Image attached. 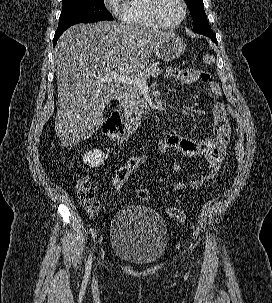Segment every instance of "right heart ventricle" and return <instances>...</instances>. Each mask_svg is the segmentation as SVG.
<instances>
[{
	"label": "right heart ventricle",
	"mask_w": 272,
	"mask_h": 303,
	"mask_svg": "<svg viewBox=\"0 0 272 303\" xmlns=\"http://www.w3.org/2000/svg\"><path fill=\"white\" fill-rule=\"evenodd\" d=\"M148 0H127L122 13V20L134 27L155 28L147 13Z\"/></svg>",
	"instance_id": "e07e8e85"
}]
</instances>
